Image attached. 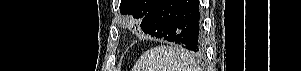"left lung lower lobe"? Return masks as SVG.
<instances>
[{"label": "left lung lower lobe", "mask_w": 301, "mask_h": 71, "mask_svg": "<svg viewBox=\"0 0 301 71\" xmlns=\"http://www.w3.org/2000/svg\"><path fill=\"white\" fill-rule=\"evenodd\" d=\"M198 0H158L141 22L142 30L186 49L203 47Z\"/></svg>", "instance_id": "1"}]
</instances>
